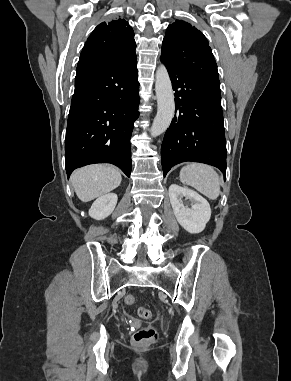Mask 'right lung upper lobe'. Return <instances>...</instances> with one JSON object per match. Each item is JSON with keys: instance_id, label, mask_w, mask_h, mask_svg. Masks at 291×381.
I'll list each match as a JSON object with an SVG mask.
<instances>
[{"instance_id": "1", "label": "right lung upper lobe", "mask_w": 291, "mask_h": 381, "mask_svg": "<svg viewBox=\"0 0 291 381\" xmlns=\"http://www.w3.org/2000/svg\"><path fill=\"white\" fill-rule=\"evenodd\" d=\"M134 32L124 19L100 23L87 39L78 65H113L135 54Z\"/></svg>"}]
</instances>
